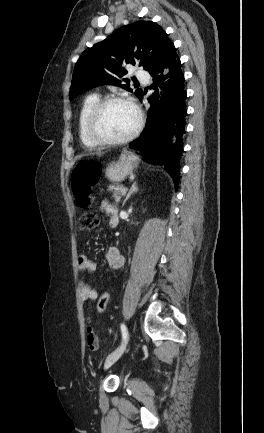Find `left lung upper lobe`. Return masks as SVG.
<instances>
[{"instance_id":"left-lung-upper-lobe-1","label":"left lung upper lobe","mask_w":264,"mask_h":433,"mask_svg":"<svg viewBox=\"0 0 264 433\" xmlns=\"http://www.w3.org/2000/svg\"><path fill=\"white\" fill-rule=\"evenodd\" d=\"M175 50L166 32L152 21H137L116 30L100 43L88 48L77 61L70 92V100L80 93L104 84H113L132 92L129 79L118 78L127 74L125 64H139L149 73ZM143 91L136 89L140 99Z\"/></svg>"}]
</instances>
